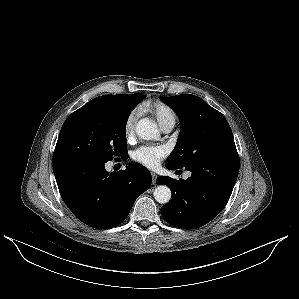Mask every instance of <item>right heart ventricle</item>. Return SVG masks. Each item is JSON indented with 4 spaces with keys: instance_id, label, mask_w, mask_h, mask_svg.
<instances>
[{
    "instance_id": "right-heart-ventricle-1",
    "label": "right heart ventricle",
    "mask_w": 299,
    "mask_h": 299,
    "mask_svg": "<svg viewBox=\"0 0 299 299\" xmlns=\"http://www.w3.org/2000/svg\"><path fill=\"white\" fill-rule=\"evenodd\" d=\"M147 110L154 116L160 127L167 123L175 124L176 122V114L173 109L161 101L152 102Z\"/></svg>"
}]
</instances>
